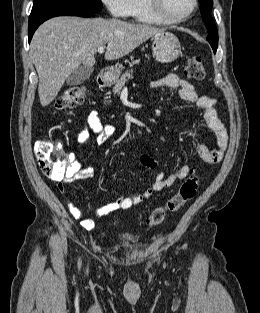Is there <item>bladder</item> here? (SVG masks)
Returning a JSON list of instances; mask_svg holds the SVG:
<instances>
[{
    "label": "bladder",
    "instance_id": "obj_1",
    "mask_svg": "<svg viewBox=\"0 0 260 313\" xmlns=\"http://www.w3.org/2000/svg\"><path fill=\"white\" fill-rule=\"evenodd\" d=\"M118 240L122 243H131L136 241V236L132 234H125L118 237Z\"/></svg>",
    "mask_w": 260,
    "mask_h": 313
}]
</instances>
